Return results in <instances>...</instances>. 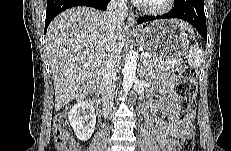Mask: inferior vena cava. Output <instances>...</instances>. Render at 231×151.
Here are the masks:
<instances>
[{"instance_id":"inferior-vena-cava-1","label":"inferior vena cava","mask_w":231,"mask_h":151,"mask_svg":"<svg viewBox=\"0 0 231 151\" xmlns=\"http://www.w3.org/2000/svg\"><path fill=\"white\" fill-rule=\"evenodd\" d=\"M127 0H111L107 6L106 18L109 31L115 34L124 25L127 16ZM120 50L113 44L108 53L102 79L103 114L108 116L113 108V92L116 88L115 77L120 62Z\"/></svg>"}]
</instances>
